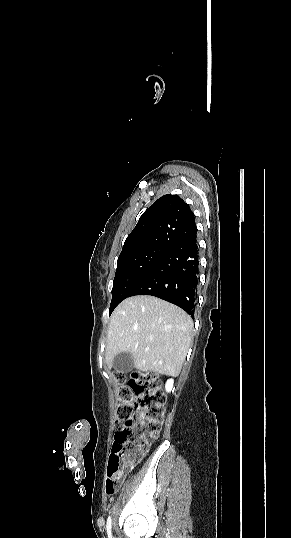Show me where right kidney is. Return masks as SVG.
I'll use <instances>...</instances> for the list:
<instances>
[{
    "mask_svg": "<svg viewBox=\"0 0 291 538\" xmlns=\"http://www.w3.org/2000/svg\"><path fill=\"white\" fill-rule=\"evenodd\" d=\"M173 383H174V380H173V379H169V380L167 381L166 386H165L167 392H170V391L172 390V388H173Z\"/></svg>",
    "mask_w": 291,
    "mask_h": 538,
    "instance_id": "right-kidney-1",
    "label": "right kidney"
}]
</instances>
